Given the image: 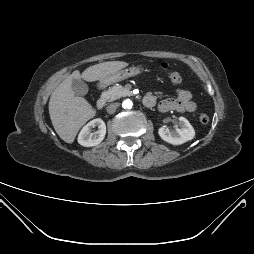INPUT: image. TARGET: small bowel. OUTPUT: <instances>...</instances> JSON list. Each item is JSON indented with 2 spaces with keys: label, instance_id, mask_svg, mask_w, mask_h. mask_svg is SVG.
<instances>
[{
  "label": "small bowel",
  "instance_id": "small-bowel-1",
  "mask_svg": "<svg viewBox=\"0 0 254 254\" xmlns=\"http://www.w3.org/2000/svg\"><path fill=\"white\" fill-rule=\"evenodd\" d=\"M152 98L154 104L156 103V97L148 95ZM158 108L161 112L178 111V112H194L196 110V104L192 100V94L186 89H178L176 92V98H169L162 100Z\"/></svg>",
  "mask_w": 254,
  "mask_h": 254
}]
</instances>
